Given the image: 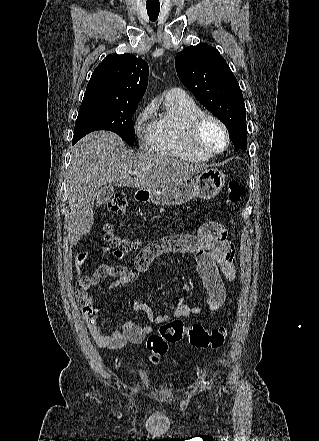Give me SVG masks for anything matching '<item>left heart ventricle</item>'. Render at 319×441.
<instances>
[{"mask_svg":"<svg viewBox=\"0 0 319 441\" xmlns=\"http://www.w3.org/2000/svg\"><path fill=\"white\" fill-rule=\"evenodd\" d=\"M200 140L205 147L211 150H218L224 145V135L222 131L212 122L207 123L203 127L200 134Z\"/></svg>","mask_w":319,"mask_h":441,"instance_id":"b2bd125f","label":"left heart ventricle"}]
</instances>
